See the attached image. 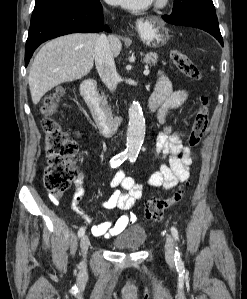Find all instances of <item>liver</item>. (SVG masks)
Here are the masks:
<instances>
[{"instance_id":"obj_1","label":"liver","mask_w":247,"mask_h":299,"mask_svg":"<svg viewBox=\"0 0 247 299\" xmlns=\"http://www.w3.org/2000/svg\"><path fill=\"white\" fill-rule=\"evenodd\" d=\"M98 35L73 33L46 43L35 56L29 72V87L35 105L57 85L81 79L94 64ZM109 45L114 57L120 54L122 43L111 36Z\"/></svg>"}]
</instances>
